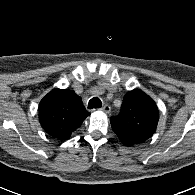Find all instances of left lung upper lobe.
<instances>
[{
	"label": "left lung upper lobe",
	"instance_id": "obj_1",
	"mask_svg": "<svg viewBox=\"0 0 195 195\" xmlns=\"http://www.w3.org/2000/svg\"><path fill=\"white\" fill-rule=\"evenodd\" d=\"M158 120L155 102L135 89L124 96L121 112L111 118V125L121 142L132 146L149 139L156 131Z\"/></svg>",
	"mask_w": 195,
	"mask_h": 195
}]
</instances>
